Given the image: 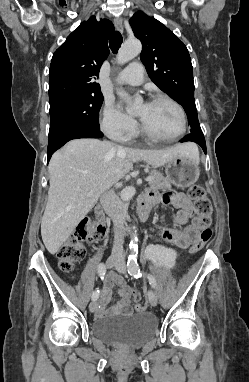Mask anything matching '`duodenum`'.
I'll return each instance as SVG.
<instances>
[{
	"instance_id": "duodenum-1",
	"label": "duodenum",
	"mask_w": 249,
	"mask_h": 382,
	"mask_svg": "<svg viewBox=\"0 0 249 382\" xmlns=\"http://www.w3.org/2000/svg\"><path fill=\"white\" fill-rule=\"evenodd\" d=\"M150 203L144 199V200H141L139 203H138V207H137V210H138V214H139V217L141 219V221H146L147 218H148V214H149V210H150ZM95 214H96V217L102 222L103 224V221H104V212L102 210L101 207H97L96 211H95Z\"/></svg>"
}]
</instances>
